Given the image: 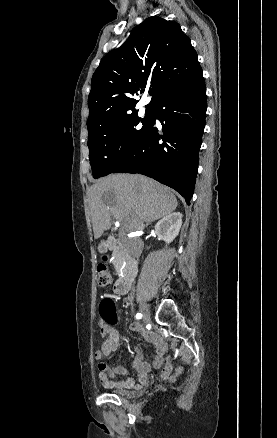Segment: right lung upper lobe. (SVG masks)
Instances as JSON below:
<instances>
[{"instance_id": "right-lung-upper-lobe-1", "label": "right lung upper lobe", "mask_w": 277, "mask_h": 438, "mask_svg": "<svg viewBox=\"0 0 277 438\" xmlns=\"http://www.w3.org/2000/svg\"><path fill=\"white\" fill-rule=\"evenodd\" d=\"M177 63L169 71L167 64ZM202 69L190 38L177 22L152 16L131 31L125 44L107 53L93 74L88 97L87 128L135 113L133 96L149 89L146 108L166 89L194 77Z\"/></svg>"}]
</instances>
